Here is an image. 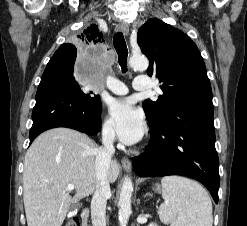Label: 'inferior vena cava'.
I'll return each instance as SVG.
<instances>
[{
	"instance_id": "1",
	"label": "inferior vena cava",
	"mask_w": 247,
	"mask_h": 226,
	"mask_svg": "<svg viewBox=\"0 0 247 226\" xmlns=\"http://www.w3.org/2000/svg\"><path fill=\"white\" fill-rule=\"evenodd\" d=\"M115 132L111 125H105L102 129V147L95 151V170L97 184L91 201L92 226H106V204L111 195L107 173L111 158L115 153L113 142Z\"/></svg>"
}]
</instances>
